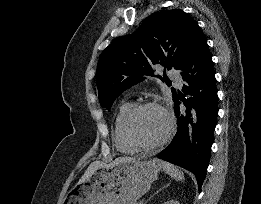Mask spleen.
<instances>
[{
  "mask_svg": "<svg viewBox=\"0 0 261 204\" xmlns=\"http://www.w3.org/2000/svg\"><path fill=\"white\" fill-rule=\"evenodd\" d=\"M163 170L166 174H168L171 178L175 179L176 181L184 180L183 172L170 163L164 162Z\"/></svg>",
  "mask_w": 261,
  "mask_h": 204,
  "instance_id": "3e777b00",
  "label": "spleen"
}]
</instances>
